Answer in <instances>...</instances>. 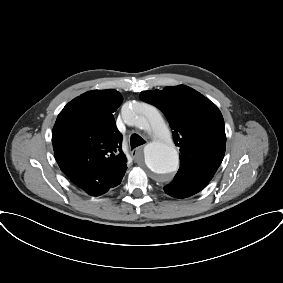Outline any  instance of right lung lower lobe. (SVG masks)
<instances>
[{"label":"right lung lower lobe","mask_w":283,"mask_h":283,"mask_svg":"<svg viewBox=\"0 0 283 283\" xmlns=\"http://www.w3.org/2000/svg\"><path fill=\"white\" fill-rule=\"evenodd\" d=\"M120 183H121V180H118L111 185H102V184L98 183L97 181H94V182L90 183L89 185H87L84 188V190L90 195L98 196V195H101V194L107 192L109 188H113V187L119 185Z\"/></svg>","instance_id":"98d812e1"}]
</instances>
